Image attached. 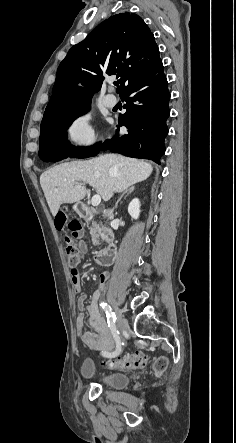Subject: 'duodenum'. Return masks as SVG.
Here are the masks:
<instances>
[{
  "label": "duodenum",
  "mask_w": 236,
  "mask_h": 443,
  "mask_svg": "<svg viewBox=\"0 0 236 443\" xmlns=\"http://www.w3.org/2000/svg\"><path fill=\"white\" fill-rule=\"evenodd\" d=\"M77 212L81 217L96 215L95 209L90 204H80L77 208ZM100 214L104 217H111L114 214V210L105 209ZM106 238L111 244L107 248L95 253V260L101 266H109L113 264L116 254V248L113 244L115 241V235L113 233L106 232Z\"/></svg>",
  "instance_id": "duodenum-1"
}]
</instances>
